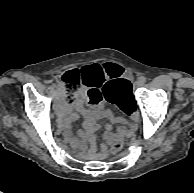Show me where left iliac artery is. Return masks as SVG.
<instances>
[{"label": "left iliac artery", "mask_w": 194, "mask_h": 193, "mask_svg": "<svg viewBox=\"0 0 194 193\" xmlns=\"http://www.w3.org/2000/svg\"><path fill=\"white\" fill-rule=\"evenodd\" d=\"M140 81H141L142 84H144V83L146 82V77L142 76V77L140 78Z\"/></svg>", "instance_id": "44dca946"}]
</instances>
